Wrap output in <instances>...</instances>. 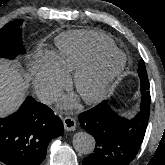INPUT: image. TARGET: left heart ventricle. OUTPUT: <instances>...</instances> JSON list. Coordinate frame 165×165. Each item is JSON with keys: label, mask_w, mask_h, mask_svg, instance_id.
Here are the masks:
<instances>
[{"label": "left heart ventricle", "mask_w": 165, "mask_h": 165, "mask_svg": "<svg viewBox=\"0 0 165 165\" xmlns=\"http://www.w3.org/2000/svg\"><path fill=\"white\" fill-rule=\"evenodd\" d=\"M117 62V58H105L92 73H90L83 79L80 86V94L87 95L92 93L98 86V83L101 78L110 70H112L117 64Z\"/></svg>", "instance_id": "1"}]
</instances>
